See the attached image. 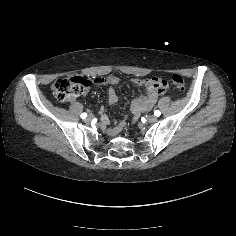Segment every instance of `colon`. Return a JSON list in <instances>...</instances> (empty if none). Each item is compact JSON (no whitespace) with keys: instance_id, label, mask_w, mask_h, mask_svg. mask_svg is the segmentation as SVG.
Here are the masks:
<instances>
[{"instance_id":"5ec220e1","label":"colon","mask_w":236,"mask_h":236,"mask_svg":"<svg viewBox=\"0 0 236 236\" xmlns=\"http://www.w3.org/2000/svg\"><path fill=\"white\" fill-rule=\"evenodd\" d=\"M158 85H162L160 79H156ZM172 84L177 89H184V79L182 76L175 74L172 76ZM91 81L87 77L74 76L56 80L52 85L53 96L60 102L68 101L73 97H77L88 90Z\"/></svg>"}]
</instances>
